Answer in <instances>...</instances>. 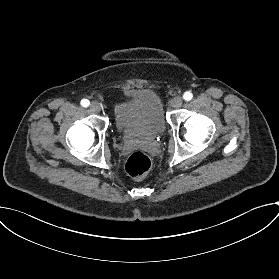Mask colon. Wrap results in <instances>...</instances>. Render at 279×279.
<instances>
[{
    "label": "colon",
    "instance_id": "colon-1",
    "mask_svg": "<svg viewBox=\"0 0 279 279\" xmlns=\"http://www.w3.org/2000/svg\"><path fill=\"white\" fill-rule=\"evenodd\" d=\"M151 168L150 158L142 152L132 153L126 162L125 169L132 177L144 176Z\"/></svg>",
    "mask_w": 279,
    "mask_h": 279
}]
</instances>
